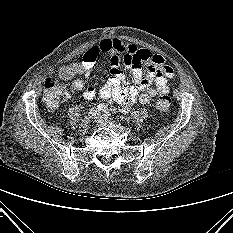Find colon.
<instances>
[{"label":"colon","instance_id":"1","mask_svg":"<svg viewBox=\"0 0 233 233\" xmlns=\"http://www.w3.org/2000/svg\"><path fill=\"white\" fill-rule=\"evenodd\" d=\"M82 71L80 64L73 63L62 67L59 70L58 76L55 79L48 78L44 83L43 101L49 110H54L57 107L60 96L64 91L62 81L71 79L75 74ZM102 93V87L99 89V94ZM155 108L159 112H166L171 104V99L166 94H159L154 101Z\"/></svg>","mask_w":233,"mask_h":233}]
</instances>
